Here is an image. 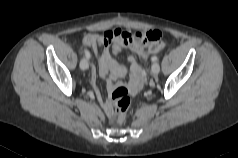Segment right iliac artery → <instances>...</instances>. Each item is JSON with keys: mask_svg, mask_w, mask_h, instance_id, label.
Wrapping results in <instances>:
<instances>
[{"mask_svg": "<svg viewBox=\"0 0 238 158\" xmlns=\"http://www.w3.org/2000/svg\"><path fill=\"white\" fill-rule=\"evenodd\" d=\"M84 53H85L86 58L89 59V58H90V53H89V51L84 50Z\"/></svg>", "mask_w": 238, "mask_h": 158, "instance_id": "right-iliac-artery-1", "label": "right iliac artery"}]
</instances>
